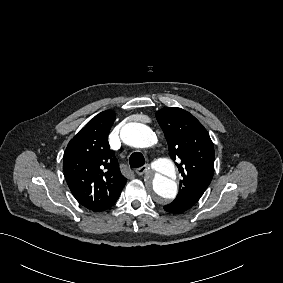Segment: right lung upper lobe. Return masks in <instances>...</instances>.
Instances as JSON below:
<instances>
[{
	"instance_id": "right-lung-upper-lobe-1",
	"label": "right lung upper lobe",
	"mask_w": 283,
	"mask_h": 283,
	"mask_svg": "<svg viewBox=\"0 0 283 283\" xmlns=\"http://www.w3.org/2000/svg\"><path fill=\"white\" fill-rule=\"evenodd\" d=\"M114 120L111 110L96 115L68 143L64 153V174L72 194L82 206L96 212L113 206L126 184L108 144Z\"/></svg>"
}]
</instances>
